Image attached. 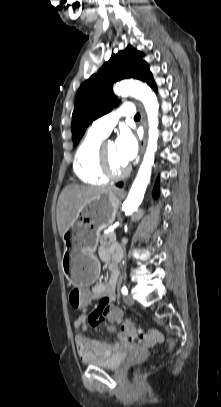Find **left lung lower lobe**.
I'll return each instance as SVG.
<instances>
[{"label": "left lung lower lobe", "instance_id": "obj_1", "mask_svg": "<svg viewBox=\"0 0 221 407\" xmlns=\"http://www.w3.org/2000/svg\"><path fill=\"white\" fill-rule=\"evenodd\" d=\"M154 90H157L156 84L152 87ZM118 186H122V183H119ZM153 195L155 197H157L159 195V189L157 187V185L155 186L154 190H153Z\"/></svg>", "mask_w": 221, "mask_h": 407}]
</instances>
